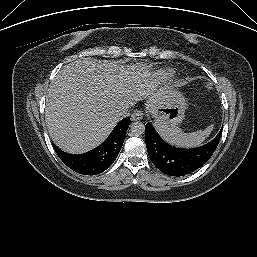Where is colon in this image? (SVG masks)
Listing matches in <instances>:
<instances>
[{"label":"colon","mask_w":257,"mask_h":257,"mask_svg":"<svg viewBox=\"0 0 257 257\" xmlns=\"http://www.w3.org/2000/svg\"><path fill=\"white\" fill-rule=\"evenodd\" d=\"M208 89L210 90V89H211V87H210V86H208Z\"/></svg>","instance_id":"colon-1"}]
</instances>
